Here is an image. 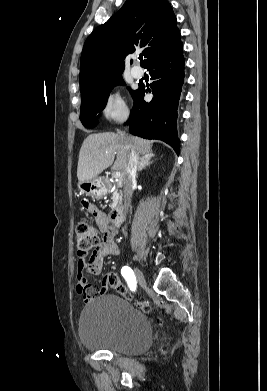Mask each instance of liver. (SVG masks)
<instances>
[{
	"label": "liver",
	"instance_id": "obj_1",
	"mask_svg": "<svg viewBox=\"0 0 267 391\" xmlns=\"http://www.w3.org/2000/svg\"><path fill=\"white\" fill-rule=\"evenodd\" d=\"M131 145L138 154L143 157L154 156L152 145L148 140L136 136L122 137L112 132L90 134L84 140L77 166V177L79 182L96 178L105 169L113 164V169L121 172L124 177L128 162V148Z\"/></svg>",
	"mask_w": 267,
	"mask_h": 391
}]
</instances>
